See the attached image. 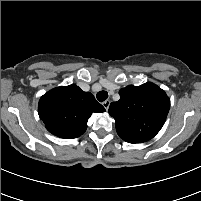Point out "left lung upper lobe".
<instances>
[{"mask_svg": "<svg viewBox=\"0 0 201 201\" xmlns=\"http://www.w3.org/2000/svg\"><path fill=\"white\" fill-rule=\"evenodd\" d=\"M120 100L112 102L109 114L115 118L118 135L129 143L152 139L165 123L170 99L154 83L129 85L119 91Z\"/></svg>", "mask_w": 201, "mask_h": 201, "instance_id": "1", "label": "left lung upper lobe"}]
</instances>
